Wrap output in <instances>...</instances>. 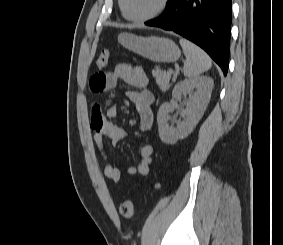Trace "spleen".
<instances>
[{
  "label": "spleen",
  "instance_id": "3e777b00",
  "mask_svg": "<svg viewBox=\"0 0 283 245\" xmlns=\"http://www.w3.org/2000/svg\"><path fill=\"white\" fill-rule=\"evenodd\" d=\"M179 42L186 56L182 70L185 77L197 78L211 68V59L205 51L187 39L181 38Z\"/></svg>",
  "mask_w": 283,
  "mask_h": 245
}]
</instances>
